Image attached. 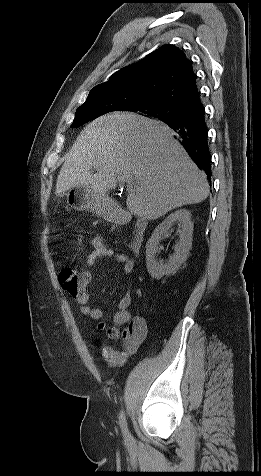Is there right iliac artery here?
<instances>
[{"instance_id": "82829eb1", "label": "right iliac artery", "mask_w": 261, "mask_h": 476, "mask_svg": "<svg viewBox=\"0 0 261 476\" xmlns=\"http://www.w3.org/2000/svg\"><path fill=\"white\" fill-rule=\"evenodd\" d=\"M119 422H120L121 430H122L124 436H126L127 433H128V429H127V422H126L125 414H124L123 411L120 412Z\"/></svg>"}]
</instances>
